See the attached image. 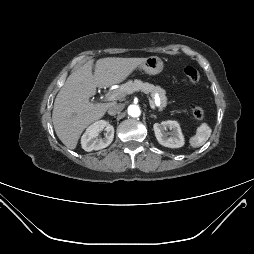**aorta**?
Instances as JSON below:
<instances>
[{
    "mask_svg": "<svg viewBox=\"0 0 254 254\" xmlns=\"http://www.w3.org/2000/svg\"><path fill=\"white\" fill-rule=\"evenodd\" d=\"M141 111L140 108L137 105H130L128 107V114L132 117H138L140 115Z\"/></svg>",
    "mask_w": 254,
    "mask_h": 254,
    "instance_id": "aorta-1",
    "label": "aorta"
}]
</instances>
